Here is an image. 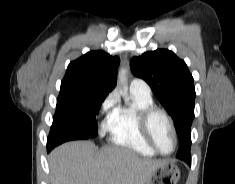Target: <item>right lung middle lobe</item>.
Here are the masks:
<instances>
[{
    "label": "right lung middle lobe",
    "instance_id": "right-lung-middle-lobe-1",
    "mask_svg": "<svg viewBox=\"0 0 235 184\" xmlns=\"http://www.w3.org/2000/svg\"><path fill=\"white\" fill-rule=\"evenodd\" d=\"M101 96L102 91L94 88L60 91L54 117L72 125L77 131L58 133L53 140L54 146L97 136L96 114L102 104Z\"/></svg>",
    "mask_w": 235,
    "mask_h": 184
}]
</instances>
